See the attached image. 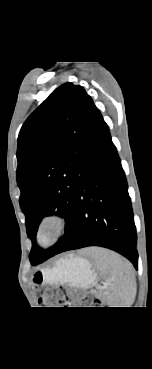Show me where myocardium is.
Masks as SVG:
<instances>
[{
	"instance_id": "obj_1",
	"label": "myocardium",
	"mask_w": 152,
	"mask_h": 369,
	"mask_svg": "<svg viewBox=\"0 0 152 369\" xmlns=\"http://www.w3.org/2000/svg\"><path fill=\"white\" fill-rule=\"evenodd\" d=\"M66 222L64 217L59 213H51L46 215L40 222L36 233L37 243L44 248L54 245L64 234ZM48 232L49 237L44 240V234Z\"/></svg>"
}]
</instances>
